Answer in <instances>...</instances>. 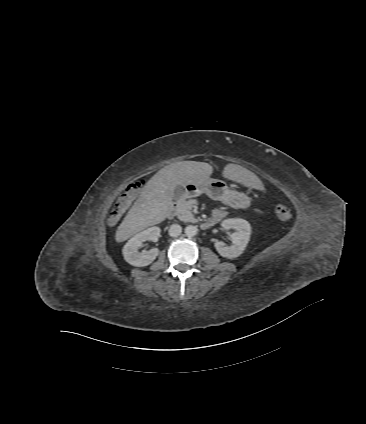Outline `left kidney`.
Returning <instances> with one entry per match:
<instances>
[{"label": "left kidney", "mask_w": 366, "mask_h": 424, "mask_svg": "<svg viewBox=\"0 0 366 424\" xmlns=\"http://www.w3.org/2000/svg\"><path fill=\"white\" fill-rule=\"evenodd\" d=\"M225 230L234 229L231 233L232 245L226 246L222 241H216L214 246L217 252L225 258L233 259L240 256L245 250L251 235V226L244 219L230 218L221 223Z\"/></svg>", "instance_id": "5707ae66"}]
</instances>
